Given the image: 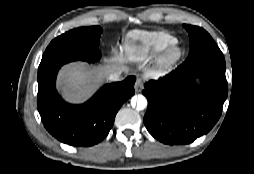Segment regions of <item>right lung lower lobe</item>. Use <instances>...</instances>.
Here are the masks:
<instances>
[{
	"label": "right lung lower lobe",
	"instance_id": "right-lung-lower-lobe-1",
	"mask_svg": "<svg viewBox=\"0 0 254 174\" xmlns=\"http://www.w3.org/2000/svg\"><path fill=\"white\" fill-rule=\"evenodd\" d=\"M60 67L38 78L37 106L42 122L52 136L65 144L95 145L107 136L125 100L134 95L136 78L129 76L122 82L104 85L86 103L72 105L55 88Z\"/></svg>",
	"mask_w": 254,
	"mask_h": 174
}]
</instances>
